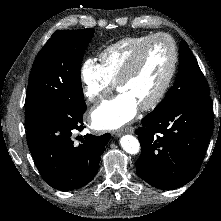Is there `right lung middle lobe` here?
Listing matches in <instances>:
<instances>
[{
  "label": "right lung middle lobe",
  "instance_id": "right-lung-middle-lobe-1",
  "mask_svg": "<svg viewBox=\"0 0 221 221\" xmlns=\"http://www.w3.org/2000/svg\"><path fill=\"white\" fill-rule=\"evenodd\" d=\"M93 29L56 31L38 53L29 76L25 127L64 104L85 106L80 67Z\"/></svg>",
  "mask_w": 221,
  "mask_h": 221
}]
</instances>
